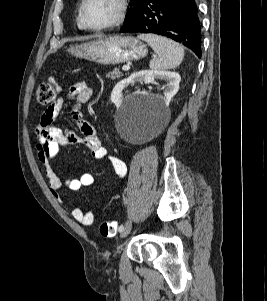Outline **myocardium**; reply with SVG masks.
Instances as JSON below:
<instances>
[{
  "mask_svg": "<svg viewBox=\"0 0 267 301\" xmlns=\"http://www.w3.org/2000/svg\"><path fill=\"white\" fill-rule=\"evenodd\" d=\"M88 0H81L80 7H79V20L83 28L87 30L92 31H103V30H109L114 27L119 26L125 19L127 11H128V0H117L118 4V11L114 19L108 23L102 24V25H90L87 23L85 19V6L87 4Z\"/></svg>",
  "mask_w": 267,
  "mask_h": 301,
  "instance_id": "1",
  "label": "myocardium"
}]
</instances>
